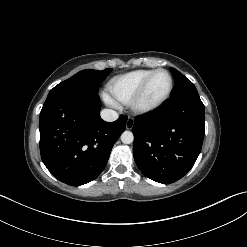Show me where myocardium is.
<instances>
[{
	"instance_id": "obj_1",
	"label": "myocardium",
	"mask_w": 247,
	"mask_h": 247,
	"mask_svg": "<svg viewBox=\"0 0 247 247\" xmlns=\"http://www.w3.org/2000/svg\"><path fill=\"white\" fill-rule=\"evenodd\" d=\"M161 72L165 73L169 79V86H168L166 93L156 102L149 103V104L144 103L143 99L147 92V89L149 87L151 80L156 74L161 73ZM173 86H174V82H173V78L170 72L167 71L166 69H156L143 81V83L141 84V86L139 87V89L137 90V92L134 94L131 101L129 102V105L131 109L137 114L151 113L155 111L156 109H158L159 107H161L169 99L172 93V90H173Z\"/></svg>"
}]
</instances>
